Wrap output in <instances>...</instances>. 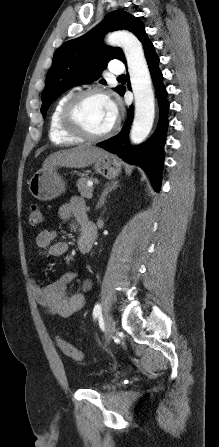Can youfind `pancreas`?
I'll list each match as a JSON object with an SVG mask.
<instances>
[{"mask_svg":"<svg viewBox=\"0 0 219 447\" xmlns=\"http://www.w3.org/2000/svg\"><path fill=\"white\" fill-rule=\"evenodd\" d=\"M89 180H94V179L93 178H89V177H81L77 181L78 191L80 192L81 196L84 197V198H88V196L90 194H92V191H93V188L89 187L87 185V182Z\"/></svg>","mask_w":219,"mask_h":447,"instance_id":"1","label":"pancreas"}]
</instances>
